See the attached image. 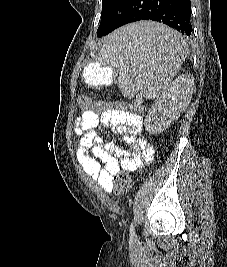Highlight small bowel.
I'll return each instance as SVG.
<instances>
[{
	"label": "small bowel",
	"mask_w": 227,
	"mask_h": 267,
	"mask_svg": "<svg viewBox=\"0 0 227 267\" xmlns=\"http://www.w3.org/2000/svg\"><path fill=\"white\" fill-rule=\"evenodd\" d=\"M108 128L124 135L123 145L104 142L99 132ZM142 128L141 116L122 113V109H108L100 115L88 110L76 118L77 160L104 191H113L112 173L119 169L132 172L153 161L155 150L146 138L139 136Z\"/></svg>",
	"instance_id": "c3829d8e"
}]
</instances>
